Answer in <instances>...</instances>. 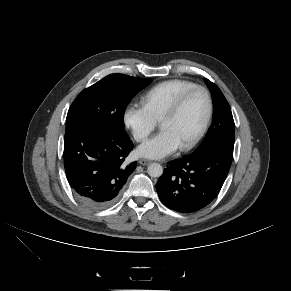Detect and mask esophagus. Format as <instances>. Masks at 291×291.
<instances>
[{
  "label": "esophagus",
  "instance_id": "34e87169",
  "mask_svg": "<svg viewBox=\"0 0 291 291\" xmlns=\"http://www.w3.org/2000/svg\"><path fill=\"white\" fill-rule=\"evenodd\" d=\"M150 163H151V161L150 160H147V159H140L139 160V164L140 165H143V166H146V165H148Z\"/></svg>",
  "mask_w": 291,
  "mask_h": 291
}]
</instances>
